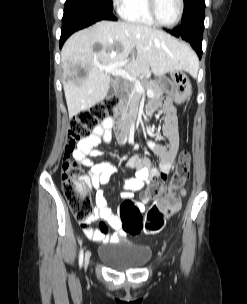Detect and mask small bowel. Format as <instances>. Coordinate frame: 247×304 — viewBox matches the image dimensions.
I'll use <instances>...</instances> for the list:
<instances>
[{
	"mask_svg": "<svg viewBox=\"0 0 247 304\" xmlns=\"http://www.w3.org/2000/svg\"><path fill=\"white\" fill-rule=\"evenodd\" d=\"M160 106L164 110V127L163 134L168 140V147L149 141V147L159 158L157 168L151 167L150 160L139 155L131 156L125 163L126 167L135 170V177L124 181L122 185L121 199H131L134 192L143 188H151L152 182L155 180L165 181L172 168L174 160L177 156L180 139L178 133V118L175 107L168 101L163 103L154 101L149 106L152 113ZM112 118H107L95 127L92 134L82 139L78 147L72 152L73 159L80 165L88 168L85 179L89 186L95 190V209L89 219L81 223V227L86 237L94 242H116L124 238L122 231L123 223L120 216L116 215L110 208L108 201L104 195L102 187L106 185L111 176L116 172L117 168L111 161L95 163L92 158L100 157L103 152L99 148L101 142L109 144L113 138ZM149 198L144 197L137 204L139 211L144 212ZM102 219L116 232L109 234L108 228L102 224L99 229H92L91 223Z\"/></svg>",
	"mask_w": 247,
	"mask_h": 304,
	"instance_id": "1",
	"label": "small bowel"
}]
</instances>
